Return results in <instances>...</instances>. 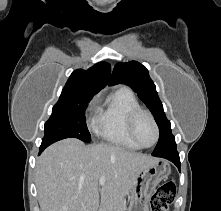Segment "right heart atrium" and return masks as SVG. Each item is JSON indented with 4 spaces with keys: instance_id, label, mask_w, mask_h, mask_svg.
Returning a JSON list of instances; mask_svg holds the SVG:
<instances>
[{
    "instance_id": "obj_1",
    "label": "right heart atrium",
    "mask_w": 221,
    "mask_h": 211,
    "mask_svg": "<svg viewBox=\"0 0 221 211\" xmlns=\"http://www.w3.org/2000/svg\"><path fill=\"white\" fill-rule=\"evenodd\" d=\"M96 98H93L87 106V114H90L95 109Z\"/></svg>"
}]
</instances>
